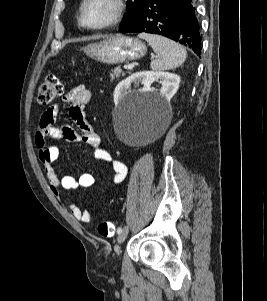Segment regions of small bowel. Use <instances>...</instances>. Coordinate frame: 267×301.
Wrapping results in <instances>:
<instances>
[{
    "instance_id": "obj_1",
    "label": "small bowel",
    "mask_w": 267,
    "mask_h": 301,
    "mask_svg": "<svg viewBox=\"0 0 267 301\" xmlns=\"http://www.w3.org/2000/svg\"><path fill=\"white\" fill-rule=\"evenodd\" d=\"M91 96V90L86 85L78 84L62 99V103L69 104V115L76 125V129L68 125L57 126L55 124L62 103H57L46 109L40 118L35 143L50 188L57 197L60 195L61 189L87 188L92 186L95 181L93 175L87 172L77 178L72 175L62 177L59 175L54 165L59 156V148L56 143L58 141L83 142L91 146L94 149L95 159L111 165L114 184L123 182L127 175L126 165L114 158L108 149L101 147L99 135L85 117L84 108L90 101ZM70 211L72 216L79 222L88 224L92 220L91 213L77 205L71 204Z\"/></svg>"
}]
</instances>
